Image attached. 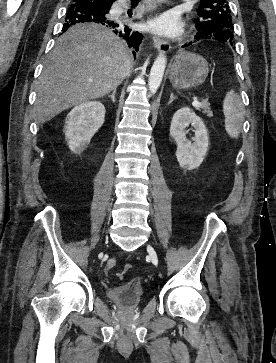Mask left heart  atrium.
<instances>
[{
  "mask_svg": "<svg viewBox=\"0 0 276 363\" xmlns=\"http://www.w3.org/2000/svg\"><path fill=\"white\" fill-rule=\"evenodd\" d=\"M182 22L177 13L165 12L149 21V27L156 33L166 36H177L182 29Z\"/></svg>",
  "mask_w": 276,
  "mask_h": 363,
  "instance_id": "left-heart-atrium-1",
  "label": "left heart atrium"
}]
</instances>
